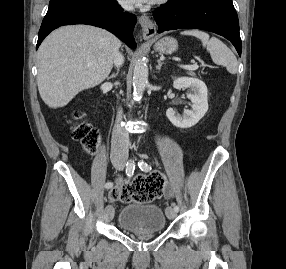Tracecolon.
I'll use <instances>...</instances> for the list:
<instances>
[{"instance_id":"obj_1","label":"colon","mask_w":286,"mask_h":269,"mask_svg":"<svg viewBox=\"0 0 286 269\" xmlns=\"http://www.w3.org/2000/svg\"><path fill=\"white\" fill-rule=\"evenodd\" d=\"M76 120L71 125V135L74 140L81 143L87 153L96 150L100 135L99 131L89 123L78 121L81 112L73 114ZM165 186V177L161 173H153L149 176L137 175L131 182H119L109 192V199L117 202L138 201L149 202L159 197Z\"/></svg>"}]
</instances>
